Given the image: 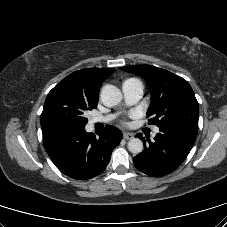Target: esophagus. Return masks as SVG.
Returning <instances> with one entry per match:
<instances>
[{"label":"esophagus","instance_id":"34e87169","mask_svg":"<svg viewBox=\"0 0 227 227\" xmlns=\"http://www.w3.org/2000/svg\"><path fill=\"white\" fill-rule=\"evenodd\" d=\"M134 137V135L132 134V133H128V132H124L123 133V138L125 139V140H130V139H132Z\"/></svg>","mask_w":227,"mask_h":227}]
</instances>
